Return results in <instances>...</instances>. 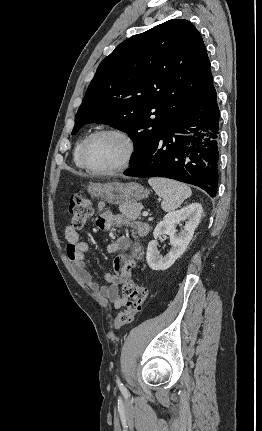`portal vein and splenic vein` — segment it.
Returning <instances> with one entry per match:
<instances>
[{
  "mask_svg": "<svg viewBox=\"0 0 262 431\" xmlns=\"http://www.w3.org/2000/svg\"><path fill=\"white\" fill-rule=\"evenodd\" d=\"M142 215H143L144 217H146V216H148V212H147V211H144V212L142 213Z\"/></svg>",
  "mask_w": 262,
  "mask_h": 431,
  "instance_id": "portal-vein-and-splenic-vein-1",
  "label": "portal vein and splenic vein"
}]
</instances>
